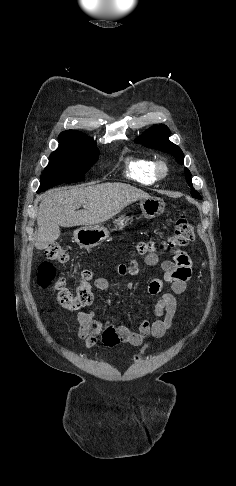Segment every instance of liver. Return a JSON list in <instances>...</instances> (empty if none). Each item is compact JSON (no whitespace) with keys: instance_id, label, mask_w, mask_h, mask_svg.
Returning a JSON list of instances; mask_svg holds the SVG:
<instances>
[{"instance_id":"obj_1","label":"liver","mask_w":236,"mask_h":486,"mask_svg":"<svg viewBox=\"0 0 236 486\" xmlns=\"http://www.w3.org/2000/svg\"><path fill=\"white\" fill-rule=\"evenodd\" d=\"M148 198V193L124 183L51 190L38 209L36 247L43 241L42 232L50 224L62 227L97 225L112 218L129 204ZM80 206L83 209L76 211Z\"/></svg>"}]
</instances>
